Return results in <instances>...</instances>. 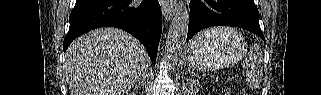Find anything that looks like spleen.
Masks as SVG:
<instances>
[{"label":"spleen","mask_w":321,"mask_h":95,"mask_svg":"<svg viewBox=\"0 0 321 95\" xmlns=\"http://www.w3.org/2000/svg\"><path fill=\"white\" fill-rule=\"evenodd\" d=\"M233 29L226 27H215L205 30L197 35L199 38L217 39L231 33ZM243 69L247 75L246 83L249 88L259 87L263 76V54L258 45H253L248 56L243 62Z\"/></svg>","instance_id":"spleen-1"}]
</instances>
